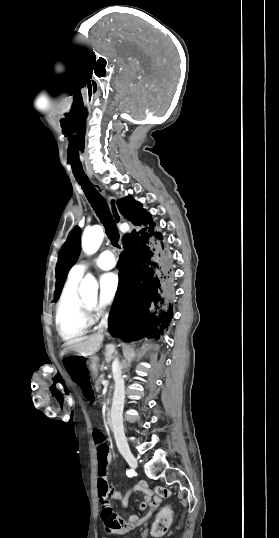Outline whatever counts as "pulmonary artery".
<instances>
[{
	"label": "pulmonary artery",
	"instance_id": "1",
	"mask_svg": "<svg viewBox=\"0 0 279 538\" xmlns=\"http://www.w3.org/2000/svg\"><path fill=\"white\" fill-rule=\"evenodd\" d=\"M117 261V255L113 250H105L93 259H85L77 262L70 270L74 276L83 275L91 266L101 270L111 269Z\"/></svg>",
	"mask_w": 279,
	"mask_h": 538
}]
</instances>
